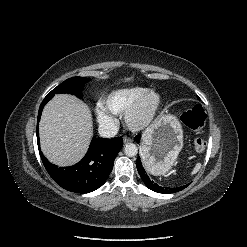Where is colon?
I'll return each mask as SVG.
<instances>
[{
	"instance_id": "1",
	"label": "colon",
	"mask_w": 247,
	"mask_h": 247,
	"mask_svg": "<svg viewBox=\"0 0 247 247\" xmlns=\"http://www.w3.org/2000/svg\"><path fill=\"white\" fill-rule=\"evenodd\" d=\"M183 123L189 128L198 131L205 124V113L200 107H193L183 112ZM206 148V143L203 139L197 138L194 141V149L196 152H203Z\"/></svg>"
}]
</instances>
